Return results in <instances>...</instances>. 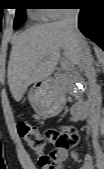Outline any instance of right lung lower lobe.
<instances>
[{
	"mask_svg": "<svg viewBox=\"0 0 104 169\" xmlns=\"http://www.w3.org/2000/svg\"><path fill=\"white\" fill-rule=\"evenodd\" d=\"M80 31L93 42L104 48V8L102 0H80Z\"/></svg>",
	"mask_w": 104,
	"mask_h": 169,
	"instance_id": "right-lung-lower-lobe-1",
	"label": "right lung lower lobe"
}]
</instances>
